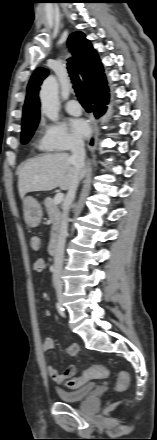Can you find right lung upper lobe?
I'll return each instance as SVG.
<instances>
[{
  "label": "right lung upper lobe",
  "mask_w": 157,
  "mask_h": 440,
  "mask_svg": "<svg viewBox=\"0 0 157 440\" xmlns=\"http://www.w3.org/2000/svg\"><path fill=\"white\" fill-rule=\"evenodd\" d=\"M68 47L75 58L76 65L83 77L84 84L87 87L91 99L108 95L102 64L96 51L85 38V35L82 32H74L71 34L68 39ZM47 74V70L38 68L29 82L25 105L23 107L22 126L38 123L39 121L40 103L38 91L42 80Z\"/></svg>",
  "instance_id": "right-lung-upper-lobe-1"
}]
</instances>
